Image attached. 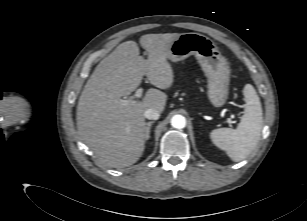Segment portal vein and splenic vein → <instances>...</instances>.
<instances>
[{
  "label": "portal vein and splenic vein",
  "instance_id": "18ae733b",
  "mask_svg": "<svg viewBox=\"0 0 307 221\" xmlns=\"http://www.w3.org/2000/svg\"><path fill=\"white\" fill-rule=\"evenodd\" d=\"M142 93H143V89H142V88H138V89L136 90V92H135V97H136V99L141 98V97H142ZM135 102H136V100H130V99H128V100L121 99V100L119 101V103H120L121 105H123V106H125V105H130V104H134ZM227 122H228V123H233V122L231 121L230 118L227 119Z\"/></svg>",
  "mask_w": 307,
  "mask_h": 221
}]
</instances>
